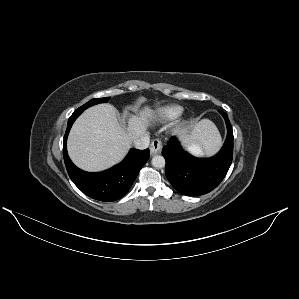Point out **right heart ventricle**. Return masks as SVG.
<instances>
[{"label":"right heart ventricle","mask_w":299,"mask_h":299,"mask_svg":"<svg viewBox=\"0 0 299 299\" xmlns=\"http://www.w3.org/2000/svg\"><path fill=\"white\" fill-rule=\"evenodd\" d=\"M183 112V108L179 105L162 106L154 112V118L159 121H171L178 118Z\"/></svg>","instance_id":"obj_1"}]
</instances>
